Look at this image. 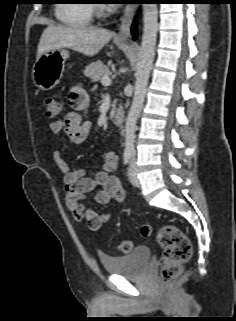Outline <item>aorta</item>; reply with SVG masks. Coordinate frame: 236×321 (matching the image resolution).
<instances>
[{
    "mask_svg": "<svg viewBox=\"0 0 236 321\" xmlns=\"http://www.w3.org/2000/svg\"><path fill=\"white\" fill-rule=\"evenodd\" d=\"M157 4H143V35L135 73V91L125 123L127 150L134 149L135 127L143 107L157 38Z\"/></svg>",
    "mask_w": 236,
    "mask_h": 321,
    "instance_id": "1",
    "label": "aorta"
}]
</instances>
